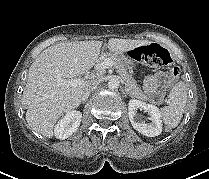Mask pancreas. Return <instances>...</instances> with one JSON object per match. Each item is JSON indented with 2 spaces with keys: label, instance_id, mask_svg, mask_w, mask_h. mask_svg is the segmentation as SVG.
<instances>
[{
  "label": "pancreas",
  "instance_id": "cf45deb5",
  "mask_svg": "<svg viewBox=\"0 0 209 179\" xmlns=\"http://www.w3.org/2000/svg\"><path fill=\"white\" fill-rule=\"evenodd\" d=\"M106 59H110L113 61L114 67L117 69V72L124 82L128 93L132 97L138 98L140 100H148L147 95L137 85V82L134 80V78L127 72V69L123 62L124 58L112 53H106L99 58L97 66L101 65V63H103ZM98 73L99 76H103V74L105 73V69H100Z\"/></svg>",
  "mask_w": 209,
  "mask_h": 179
}]
</instances>
